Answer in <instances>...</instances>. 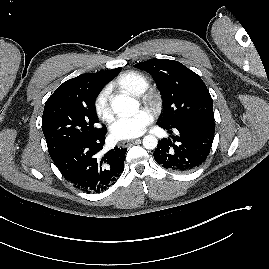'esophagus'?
I'll list each match as a JSON object with an SVG mask.
<instances>
[{"label": "esophagus", "instance_id": "obj_1", "mask_svg": "<svg viewBox=\"0 0 269 269\" xmlns=\"http://www.w3.org/2000/svg\"><path fill=\"white\" fill-rule=\"evenodd\" d=\"M140 142V139H133V140H128V141H122V146L127 147L131 143H138Z\"/></svg>", "mask_w": 269, "mask_h": 269}]
</instances>
